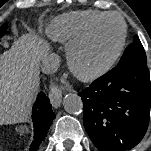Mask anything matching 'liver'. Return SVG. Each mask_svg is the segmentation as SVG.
Listing matches in <instances>:
<instances>
[{
  "instance_id": "liver-1",
  "label": "liver",
  "mask_w": 151,
  "mask_h": 151,
  "mask_svg": "<svg viewBox=\"0 0 151 151\" xmlns=\"http://www.w3.org/2000/svg\"><path fill=\"white\" fill-rule=\"evenodd\" d=\"M48 51L47 43L29 33L0 55V123L28 115L39 87V62Z\"/></svg>"
}]
</instances>
